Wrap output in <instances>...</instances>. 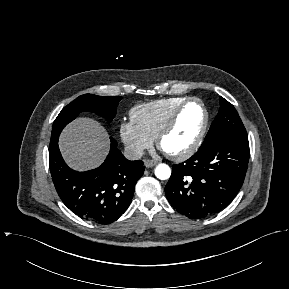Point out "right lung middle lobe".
<instances>
[{
    "label": "right lung middle lobe",
    "instance_id": "right-lung-middle-lobe-1",
    "mask_svg": "<svg viewBox=\"0 0 289 289\" xmlns=\"http://www.w3.org/2000/svg\"><path fill=\"white\" fill-rule=\"evenodd\" d=\"M121 99V96L104 97L92 94L79 96L65 106L55 119L52 127L50 145L58 140L62 129L82 111L96 113L110 123L116 115L117 106Z\"/></svg>",
    "mask_w": 289,
    "mask_h": 289
}]
</instances>
